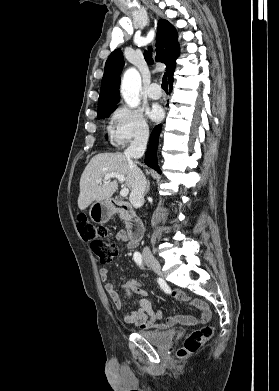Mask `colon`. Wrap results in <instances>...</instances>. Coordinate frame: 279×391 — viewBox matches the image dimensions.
<instances>
[{"label":"colon","mask_w":279,"mask_h":391,"mask_svg":"<svg viewBox=\"0 0 279 391\" xmlns=\"http://www.w3.org/2000/svg\"><path fill=\"white\" fill-rule=\"evenodd\" d=\"M78 231L81 237L88 241L93 253L103 264L111 262L117 256V244L106 239L107 230L96 227L85 216L78 221ZM213 335V328L209 325L193 330L185 339L182 348L178 351L180 357H186L196 352Z\"/></svg>","instance_id":"1"}]
</instances>
